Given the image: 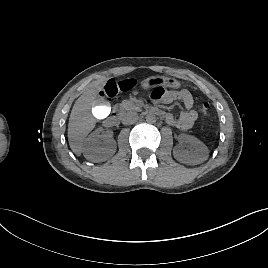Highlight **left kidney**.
I'll return each mask as SVG.
<instances>
[{"label":"left kidney","instance_id":"left-kidney-1","mask_svg":"<svg viewBox=\"0 0 268 268\" xmlns=\"http://www.w3.org/2000/svg\"><path fill=\"white\" fill-rule=\"evenodd\" d=\"M180 144L173 148V155L176 160L185 164H199L208 157V148L204 143L194 136L181 134L179 136ZM183 144H188L190 150L184 148Z\"/></svg>","mask_w":268,"mask_h":268}]
</instances>
